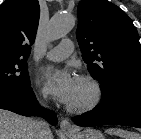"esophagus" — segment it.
<instances>
[{
	"instance_id": "esophagus-1",
	"label": "esophagus",
	"mask_w": 141,
	"mask_h": 139,
	"mask_svg": "<svg viewBox=\"0 0 141 139\" xmlns=\"http://www.w3.org/2000/svg\"><path fill=\"white\" fill-rule=\"evenodd\" d=\"M60 128L64 132H69L74 130V127L71 125V123L67 119H62L60 121Z\"/></svg>"
}]
</instances>
